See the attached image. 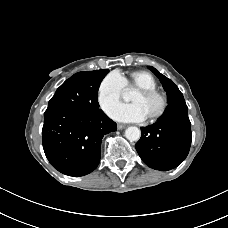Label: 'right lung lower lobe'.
I'll return each instance as SVG.
<instances>
[{"instance_id": "obj_1", "label": "right lung lower lobe", "mask_w": 228, "mask_h": 228, "mask_svg": "<svg viewBox=\"0 0 228 228\" xmlns=\"http://www.w3.org/2000/svg\"><path fill=\"white\" fill-rule=\"evenodd\" d=\"M116 129V123L99 108L93 111L47 109L42 130L45 155L63 174H89L99 164L103 136Z\"/></svg>"}]
</instances>
